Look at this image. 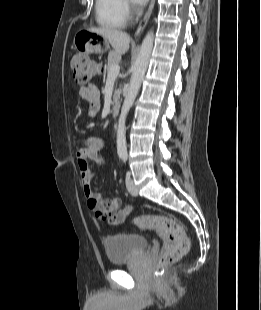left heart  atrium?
<instances>
[{"mask_svg": "<svg viewBox=\"0 0 261 310\" xmlns=\"http://www.w3.org/2000/svg\"><path fill=\"white\" fill-rule=\"evenodd\" d=\"M137 5H144L148 0H132Z\"/></svg>", "mask_w": 261, "mask_h": 310, "instance_id": "39dd6f15", "label": "left heart atrium"}]
</instances>
